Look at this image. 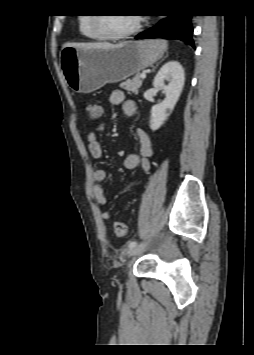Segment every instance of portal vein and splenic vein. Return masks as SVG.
Masks as SVG:
<instances>
[{
    "instance_id": "1",
    "label": "portal vein and splenic vein",
    "mask_w": 254,
    "mask_h": 355,
    "mask_svg": "<svg viewBox=\"0 0 254 355\" xmlns=\"http://www.w3.org/2000/svg\"><path fill=\"white\" fill-rule=\"evenodd\" d=\"M146 77V74L145 73H142L141 74V78H145Z\"/></svg>"
}]
</instances>
